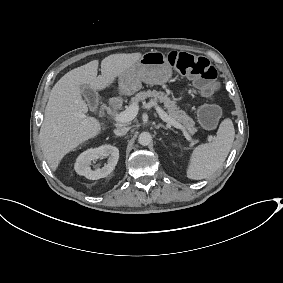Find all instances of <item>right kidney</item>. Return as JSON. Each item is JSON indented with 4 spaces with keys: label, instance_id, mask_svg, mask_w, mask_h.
<instances>
[{
    "label": "right kidney",
    "instance_id": "1",
    "mask_svg": "<svg viewBox=\"0 0 283 283\" xmlns=\"http://www.w3.org/2000/svg\"><path fill=\"white\" fill-rule=\"evenodd\" d=\"M107 157V164L100 168V164L93 170L90 168L97 159ZM119 159V149L112 145H103L80 154L75 163V170L79 175L97 180L108 176L115 168Z\"/></svg>",
    "mask_w": 283,
    "mask_h": 283
}]
</instances>
